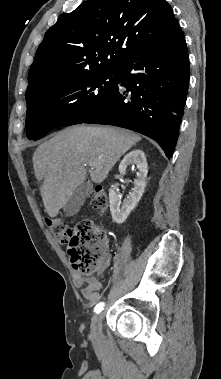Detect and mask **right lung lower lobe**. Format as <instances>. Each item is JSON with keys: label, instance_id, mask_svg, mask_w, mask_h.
Instances as JSON below:
<instances>
[{"label": "right lung lower lobe", "instance_id": "1", "mask_svg": "<svg viewBox=\"0 0 221 379\" xmlns=\"http://www.w3.org/2000/svg\"><path fill=\"white\" fill-rule=\"evenodd\" d=\"M189 57L178 28L159 43L126 60L107 101L79 123L107 124L154 139L172 157L189 85Z\"/></svg>", "mask_w": 221, "mask_h": 379}]
</instances>
